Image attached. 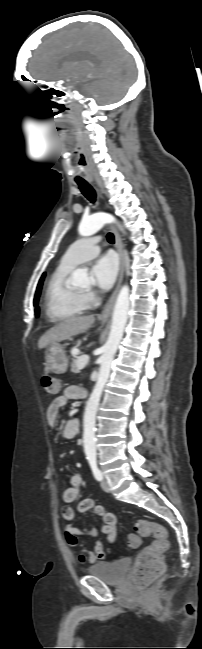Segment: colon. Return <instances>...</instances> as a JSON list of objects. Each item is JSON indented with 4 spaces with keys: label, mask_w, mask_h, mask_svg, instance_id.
Masks as SVG:
<instances>
[{
    "label": "colon",
    "mask_w": 202,
    "mask_h": 649,
    "mask_svg": "<svg viewBox=\"0 0 202 649\" xmlns=\"http://www.w3.org/2000/svg\"><path fill=\"white\" fill-rule=\"evenodd\" d=\"M41 385L46 394L57 395L61 389L60 380L49 374L41 379ZM113 517H108L112 522ZM151 536L153 542L144 548L136 557L133 568V579L139 589L147 587L163 570V553L169 547L168 533L165 527L148 520L135 523L134 532L128 536L131 543H136L139 537Z\"/></svg>",
    "instance_id": "colon-1"
}]
</instances>
